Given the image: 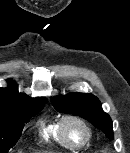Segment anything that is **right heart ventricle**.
Masks as SVG:
<instances>
[{
	"label": "right heart ventricle",
	"instance_id": "1",
	"mask_svg": "<svg viewBox=\"0 0 130 153\" xmlns=\"http://www.w3.org/2000/svg\"><path fill=\"white\" fill-rule=\"evenodd\" d=\"M60 121L61 119L57 117H47L42 119L39 124V133L45 141L70 149L62 138L60 132Z\"/></svg>",
	"mask_w": 130,
	"mask_h": 153
}]
</instances>
